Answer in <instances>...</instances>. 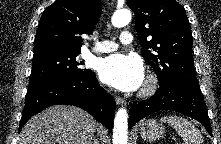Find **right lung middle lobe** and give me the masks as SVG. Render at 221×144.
<instances>
[{
	"label": "right lung middle lobe",
	"instance_id": "right-lung-middle-lobe-1",
	"mask_svg": "<svg viewBox=\"0 0 221 144\" xmlns=\"http://www.w3.org/2000/svg\"><path fill=\"white\" fill-rule=\"evenodd\" d=\"M78 52L46 50L34 53L28 90L52 79L85 76L91 71L84 68L76 57Z\"/></svg>",
	"mask_w": 221,
	"mask_h": 144
}]
</instances>
